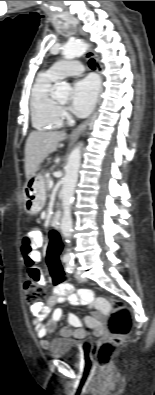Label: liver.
<instances>
[{
	"label": "liver",
	"instance_id": "obj_1",
	"mask_svg": "<svg viewBox=\"0 0 155 395\" xmlns=\"http://www.w3.org/2000/svg\"><path fill=\"white\" fill-rule=\"evenodd\" d=\"M66 139V133L61 131H33L25 145V175L29 179L38 166L57 150L58 143Z\"/></svg>",
	"mask_w": 155,
	"mask_h": 395
}]
</instances>
